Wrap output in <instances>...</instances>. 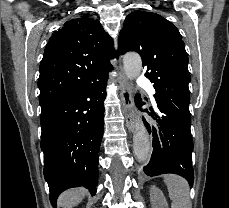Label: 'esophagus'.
Segmentation results:
<instances>
[{"instance_id":"1","label":"esophagus","mask_w":229,"mask_h":208,"mask_svg":"<svg viewBox=\"0 0 229 208\" xmlns=\"http://www.w3.org/2000/svg\"><path fill=\"white\" fill-rule=\"evenodd\" d=\"M120 99L122 102L123 114L125 117V123L128 130L133 133L135 130V115L133 112L134 101L131 94V84L129 80L122 76V88L120 92Z\"/></svg>"}]
</instances>
